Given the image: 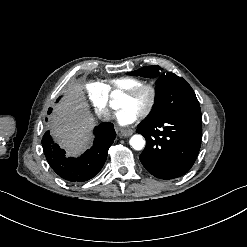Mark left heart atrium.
I'll use <instances>...</instances> for the list:
<instances>
[{"label":"left heart atrium","instance_id":"1","mask_svg":"<svg viewBox=\"0 0 247 247\" xmlns=\"http://www.w3.org/2000/svg\"><path fill=\"white\" fill-rule=\"evenodd\" d=\"M142 116V110L135 105L126 106L120 113L117 114L116 120L118 124L127 126L135 123Z\"/></svg>","mask_w":247,"mask_h":247}]
</instances>
